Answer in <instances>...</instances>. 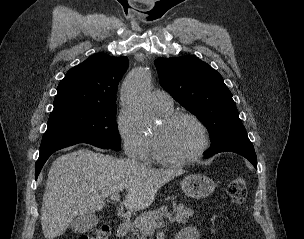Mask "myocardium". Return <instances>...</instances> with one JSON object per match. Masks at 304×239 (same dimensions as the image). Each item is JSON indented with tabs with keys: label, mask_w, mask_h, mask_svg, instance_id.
I'll return each mask as SVG.
<instances>
[{
	"label": "myocardium",
	"mask_w": 304,
	"mask_h": 239,
	"mask_svg": "<svg viewBox=\"0 0 304 239\" xmlns=\"http://www.w3.org/2000/svg\"><path fill=\"white\" fill-rule=\"evenodd\" d=\"M181 118L189 119L196 124V126L199 128L200 133H201V144H200L199 148L193 154H191L189 156H186L183 158H169V157L162 155L159 152L157 143H156V138L152 135L151 142H152L153 158L161 164L175 165V166L186 165V164L195 162L196 160L201 158L203 156V154L206 152V150L209 148L210 137H209L208 128L203 123V121L195 114H193L191 112H187V111H174L167 115H164L162 117V123L164 126H167Z\"/></svg>",
	"instance_id": "obj_1"
}]
</instances>
